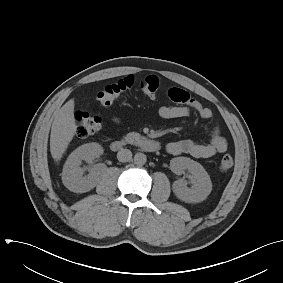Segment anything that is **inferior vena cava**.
<instances>
[{
    "mask_svg": "<svg viewBox=\"0 0 283 283\" xmlns=\"http://www.w3.org/2000/svg\"><path fill=\"white\" fill-rule=\"evenodd\" d=\"M117 159L120 162H128L132 159V152L129 149H121L117 153Z\"/></svg>",
    "mask_w": 283,
    "mask_h": 283,
    "instance_id": "602c4592",
    "label": "inferior vena cava"
}]
</instances>
